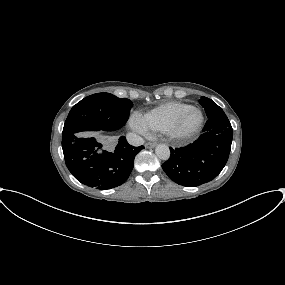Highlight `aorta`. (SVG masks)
Instances as JSON below:
<instances>
[{
    "label": "aorta",
    "instance_id": "aorta-1",
    "mask_svg": "<svg viewBox=\"0 0 285 285\" xmlns=\"http://www.w3.org/2000/svg\"><path fill=\"white\" fill-rule=\"evenodd\" d=\"M157 157L161 160H168L170 158V149L165 144H159L155 148Z\"/></svg>",
    "mask_w": 285,
    "mask_h": 285
}]
</instances>
